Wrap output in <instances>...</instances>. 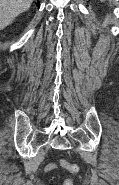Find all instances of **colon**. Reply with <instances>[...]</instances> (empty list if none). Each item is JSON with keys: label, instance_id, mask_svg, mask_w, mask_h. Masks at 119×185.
Masks as SVG:
<instances>
[{"label": "colon", "instance_id": "obj_1", "mask_svg": "<svg viewBox=\"0 0 119 185\" xmlns=\"http://www.w3.org/2000/svg\"><path fill=\"white\" fill-rule=\"evenodd\" d=\"M60 163L65 169L69 170L73 176H76L78 174L79 168L77 165L71 164L67 162L66 160H61ZM72 183H73V180L68 179L65 181L64 185H72Z\"/></svg>", "mask_w": 119, "mask_h": 185}]
</instances>
